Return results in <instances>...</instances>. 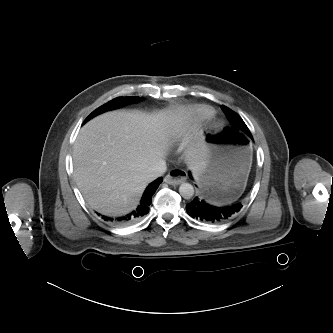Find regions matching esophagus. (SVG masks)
<instances>
[{
    "label": "esophagus",
    "instance_id": "34e87169",
    "mask_svg": "<svg viewBox=\"0 0 333 333\" xmlns=\"http://www.w3.org/2000/svg\"><path fill=\"white\" fill-rule=\"evenodd\" d=\"M186 180V172L181 169H173L171 170L164 181L170 185H178Z\"/></svg>",
    "mask_w": 333,
    "mask_h": 333
}]
</instances>
